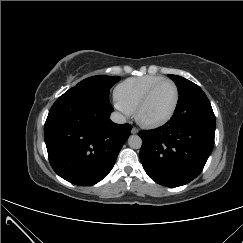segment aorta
<instances>
[{
  "instance_id": "1",
  "label": "aorta",
  "mask_w": 243,
  "mask_h": 243,
  "mask_svg": "<svg viewBox=\"0 0 243 243\" xmlns=\"http://www.w3.org/2000/svg\"><path fill=\"white\" fill-rule=\"evenodd\" d=\"M128 145L132 149H139L142 146V139L138 135H131L128 138Z\"/></svg>"
}]
</instances>
